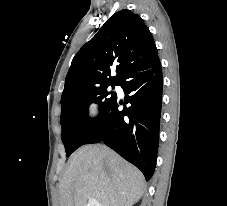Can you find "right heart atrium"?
I'll use <instances>...</instances> for the list:
<instances>
[{
    "instance_id": "d8ad5b80",
    "label": "right heart atrium",
    "mask_w": 227,
    "mask_h": 206,
    "mask_svg": "<svg viewBox=\"0 0 227 206\" xmlns=\"http://www.w3.org/2000/svg\"><path fill=\"white\" fill-rule=\"evenodd\" d=\"M99 108L96 103H90L86 107V117L89 121H93L98 117Z\"/></svg>"
}]
</instances>
